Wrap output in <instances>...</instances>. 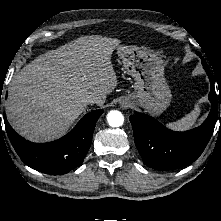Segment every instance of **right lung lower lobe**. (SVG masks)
Returning <instances> with one entry per match:
<instances>
[{
	"instance_id": "1",
	"label": "right lung lower lobe",
	"mask_w": 221,
	"mask_h": 221,
	"mask_svg": "<svg viewBox=\"0 0 221 221\" xmlns=\"http://www.w3.org/2000/svg\"><path fill=\"white\" fill-rule=\"evenodd\" d=\"M1 103V96H0ZM102 109L86 114L67 135L49 143H32L19 136L5 118L7 135L21 160L29 167L51 175H62L78 167L88 152ZM1 127V118H0Z\"/></svg>"
}]
</instances>
